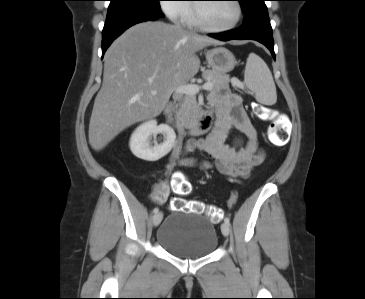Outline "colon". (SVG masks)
I'll use <instances>...</instances> for the list:
<instances>
[{
  "instance_id": "colon-1",
  "label": "colon",
  "mask_w": 365,
  "mask_h": 299,
  "mask_svg": "<svg viewBox=\"0 0 365 299\" xmlns=\"http://www.w3.org/2000/svg\"><path fill=\"white\" fill-rule=\"evenodd\" d=\"M257 113L262 120L271 122L268 129L269 140L274 144H285L288 140V132L276 111L266 106H258ZM172 188L179 195H186L191 191L189 182L183 176H176L173 179ZM171 208L189 213L206 214L215 223L220 222L223 217V212L218 206L183 198L174 199Z\"/></svg>"
}]
</instances>
